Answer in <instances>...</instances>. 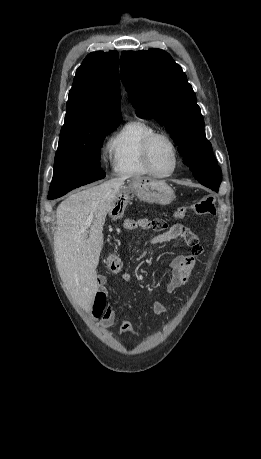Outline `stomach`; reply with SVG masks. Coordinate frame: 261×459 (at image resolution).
<instances>
[{
  "label": "stomach",
  "mask_w": 261,
  "mask_h": 459,
  "mask_svg": "<svg viewBox=\"0 0 261 459\" xmlns=\"http://www.w3.org/2000/svg\"><path fill=\"white\" fill-rule=\"evenodd\" d=\"M131 193L150 204L168 205L175 199L173 189L166 182L148 177H134L120 188L115 207L111 210L113 218H117L119 212L126 207Z\"/></svg>",
  "instance_id": "obj_1"
}]
</instances>
